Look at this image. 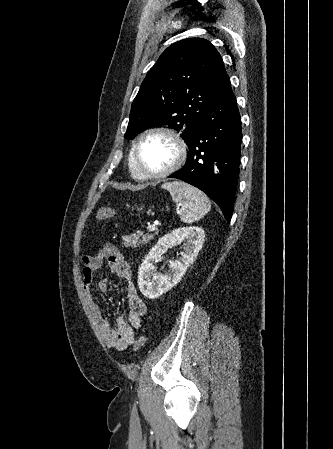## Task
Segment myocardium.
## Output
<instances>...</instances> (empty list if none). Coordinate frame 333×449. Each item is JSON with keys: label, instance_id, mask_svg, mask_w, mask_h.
Wrapping results in <instances>:
<instances>
[{"label": "myocardium", "instance_id": "myocardium-1", "mask_svg": "<svg viewBox=\"0 0 333 449\" xmlns=\"http://www.w3.org/2000/svg\"><path fill=\"white\" fill-rule=\"evenodd\" d=\"M161 135L169 138L175 146V158L165 169L158 172H145L140 163L139 150L142 142L149 136ZM132 155L136 170L141 180H158L165 178L177 171L185 162L187 157V145L183 138L174 130L164 127H152L144 130L132 148Z\"/></svg>", "mask_w": 333, "mask_h": 449}]
</instances>
